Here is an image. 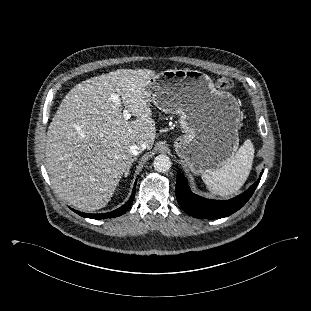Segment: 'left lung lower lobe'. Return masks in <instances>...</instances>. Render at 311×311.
<instances>
[{
    "instance_id": "obj_1",
    "label": "left lung lower lobe",
    "mask_w": 311,
    "mask_h": 311,
    "mask_svg": "<svg viewBox=\"0 0 311 311\" xmlns=\"http://www.w3.org/2000/svg\"><path fill=\"white\" fill-rule=\"evenodd\" d=\"M260 178L241 195L227 201L209 200L193 194L187 185V180L181 172L177 173L176 198L181 208L196 218L217 219L227 217L240 208L254 193Z\"/></svg>"
}]
</instances>
